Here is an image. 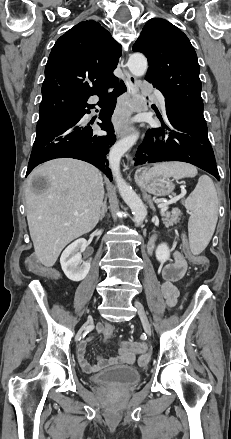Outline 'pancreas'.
<instances>
[{
    "mask_svg": "<svg viewBox=\"0 0 231 439\" xmlns=\"http://www.w3.org/2000/svg\"><path fill=\"white\" fill-rule=\"evenodd\" d=\"M165 226H172L180 222V211L173 209L172 212H164L161 214Z\"/></svg>",
    "mask_w": 231,
    "mask_h": 439,
    "instance_id": "1",
    "label": "pancreas"
}]
</instances>
